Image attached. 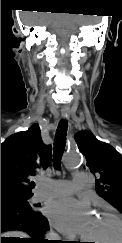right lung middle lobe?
Listing matches in <instances>:
<instances>
[{
    "mask_svg": "<svg viewBox=\"0 0 122 243\" xmlns=\"http://www.w3.org/2000/svg\"><path fill=\"white\" fill-rule=\"evenodd\" d=\"M31 196H25V197H15V198H6L1 199V205H14L18 207L33 209L31 205L29 204V199ZM37 206V205H35Z\"/></svg>",
    "mask_w": 122,
    "mask_h": 243,
    "instance_id": "1",
    "label": "right lung middle lobe"
}]
</instances>
